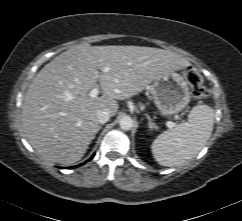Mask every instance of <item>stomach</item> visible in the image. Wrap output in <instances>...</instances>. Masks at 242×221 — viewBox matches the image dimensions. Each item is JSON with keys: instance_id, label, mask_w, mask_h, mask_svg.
I'll list each match as a JSON object with an SVG mask.
<instances>
[{"instance_id": "1", "label": "stomach", "mask_w": 242, "mask_h": 221, "mask_svg": "<svg viewBox=\"0 0 242 221\" xmlns=\"http://www.w3.org/2000/svg\"><path fill=\"white\" fill-rule=\"evenodd\" d=\"M149 90L160 114L165 117L181 112L190 102L186 73L163 74L151 82Z\"/></svg>"}]
</instances>
